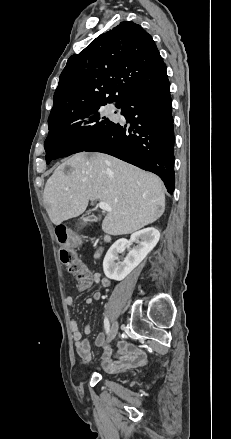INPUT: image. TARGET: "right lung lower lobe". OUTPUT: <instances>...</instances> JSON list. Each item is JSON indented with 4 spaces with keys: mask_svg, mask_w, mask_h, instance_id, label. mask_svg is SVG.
<instances>
[{
    "mask_svg": "<svg viewBox=\"0 0 231 439\" xmlns=\"http://www.w3.org/2000/svg\"><path fill=\"white\" fill-rule=\"evenodd\" d=\"M168 79L132 96L122 107L127 123H116L84 151L102 152L157 174L173 193L174 129Z\"/></svg>",
    "mask_w": 231,
    "mask_h": 439,
    "instance_id": "1",
    "label": "right lung lower lobe"
}]
</instances>
